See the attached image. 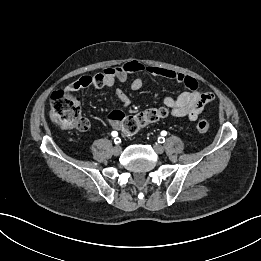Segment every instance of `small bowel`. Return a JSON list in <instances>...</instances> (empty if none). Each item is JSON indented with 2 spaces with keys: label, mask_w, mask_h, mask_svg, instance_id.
Segmentation results:
<instances>
[{
  "label": "small bowel",
  "mask_w": 261,
  "mask_h": 261,
  "mask_svg": "<svg viewBox=\"0 0 261 261\" xmlns=\"http://www.w3.org/2000/svg\"><path fill=\"white\" fill-rule=\"evenodd\" d=\"M141 72H146L154 77L167 78L186 86L187 91L181 93L176 98L171 96L163 98V104L170 109L173 117L195 121L205 106L214 99L212 93H202L198 90V84L194 78L159 66H145L138 61H130L117 67L106 68L102 73L94 76H83L78 80L83 84L79 89L87 87L111 88L116 81L127 82L130 76ZM143 84V80L138 77L130 81V87L133 91L140 90ZM116 97L124 107L130 105V98L121 89L116 90ZM118 112L122 113L121 111ZM109 120L114 128H119L118 121L111 119L110 116Z\"/></svg>",
  "instance_id": "c3829d8e"
}]
</instances>
